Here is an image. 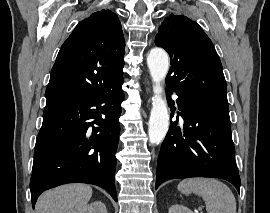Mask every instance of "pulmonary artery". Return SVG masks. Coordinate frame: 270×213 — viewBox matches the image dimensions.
<instances>
[{"label":"pulmonary artery","mask_w":270,"mask_h":213,"mask_svg":"<svg viewBox=\"0 0 270 213\" xmlns=\"http://www.w3.org/2000/svg\"><path fill=\"white\" fill-rule=\"evenodd\" d=\"M173 98L176 100V95H173Z\"/></svg>","instance_id":"pulmonary-artery-1"}]
</instances>
